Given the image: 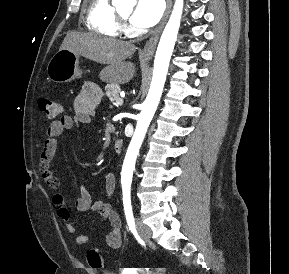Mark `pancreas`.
I'll list each match as a JSON object with an SVG mask.
<instances>
[{
  "label": "pancreas",
  "instance_id": "cf45deb5",
  "mask_svg": "<svg viewBox=\"0 0 289 274\" xmlns=\"http://www.w3.org/2000/svg\"><path fill=\"white\" fill-rule=\"evenodd\" d=\"M106 95L111 102H115L119 98L120 87L117 84L108 85L106 88Z\"/></svg>",
  "mask_w": 289,
  "mask_h": 274
}]
</instances>
